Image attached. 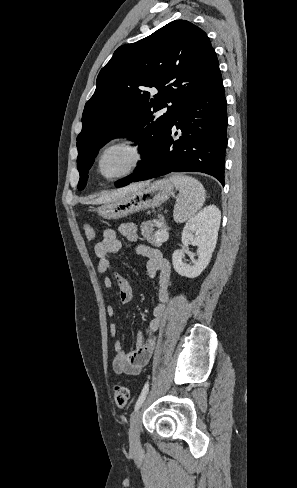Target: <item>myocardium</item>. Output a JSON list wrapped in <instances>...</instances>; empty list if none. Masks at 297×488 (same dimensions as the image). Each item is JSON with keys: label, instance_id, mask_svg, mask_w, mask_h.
<instances>
[{"label": "myocardium", "instance_id": "obj_1", "mask_svg": "<svg viewBox=\"0 0 297 488\" xmlns=\"http://www.w3.org/2000/svg\"><path fill=\"white\" fill-rule=\"evenodd\" d=\"M118 146H129L133 148L134 151L136 152V157L133 163L126 170L114 176L108 177L103 173L102 160L105 154L109 150ZM147 158H148V149L145 142L142 139L136 137H123L110 142L100 151L97 159V167H98L99 174L101 175L102 178H104L107 181H116L138 171L146 163Z\"/></svg>", "mask_w": 297, "mask_h": 488}]
</instances>
